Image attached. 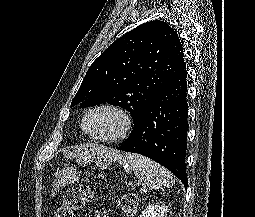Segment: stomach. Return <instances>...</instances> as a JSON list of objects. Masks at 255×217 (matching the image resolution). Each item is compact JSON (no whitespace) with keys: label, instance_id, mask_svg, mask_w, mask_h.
<instances>
[{"label":"stomach","instance_id":"1","mask_svg":"<svg viewBox=\"0 0 255 217\" xmlns=\"http://www.w3.org/2000/svg\"><path fill=\"white\" fill-rule=\"evenodd\" d=\"M121 166L124 168V170L129 173L131 171V166L127 162L119 161ZM56 179L53 182L54 189L52 190L51 197L56 195V193L59 191V187H63L67 184H70L72 181H74L78 177V172L73 167H65L55 175Z\"/></svg>","mask_w":255,"mask_h":217}]
</instances>
